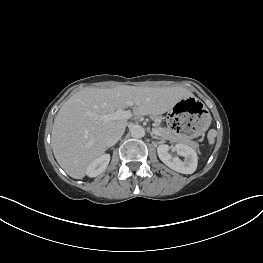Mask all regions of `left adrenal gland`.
<instances>
[{"mask_svg": "<svg viewBox=\"0 0 263 263\" xmlns=\"http://www.w3.org/2000/svg\"><path fill=\"white\" fill-rule=\"evenodd\" d=\"M150 134H151V137H152V138L161 140V138H159L158 136L154 135L152 132H151Z\"/></svg>", "mask_w": 263, "mask_h": 263, "instance_id": "1", "label": "left adrenal gland"}]
</instances>
